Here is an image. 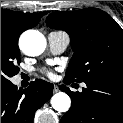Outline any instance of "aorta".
<instances>
[{"label": "aorta", "mask_w": 123, "mask_h": 123, "mask_svg": "<svg viewBox=\"0 0 123 123\" xmlns=\"http://www.w3.org/2000/svg\"><path fill=\"white\" fill-rule=\"evenodd\" d=\"M22 51L29 56L40 55L46 47L45 37L38 31H26L20 39ZM53 109L59 112H66L71 106L70 97L64 92H58L51 98Z\"/></svg>", "instance_id": "aorta-1"}]
</instances>
